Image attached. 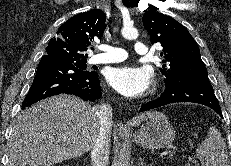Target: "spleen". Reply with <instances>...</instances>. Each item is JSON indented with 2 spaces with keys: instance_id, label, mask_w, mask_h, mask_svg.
I'll use <instances>...</instances> for the list:
<instances>
[{
  "instance_id": "1",
  "label": "spleen",
  "mask_w": 231,
  "mask_h": 166,
  "mask_svg": "<svg viewBox=\"0 0 231 166\" xmlns=\"http://www.w3.org/2000/svg\"><path fill=\"white\" fill-rule=\"evenodd\" d=\"M196 156L202 166H230L225 141L213 126L209 128L207 138L198 145Z\"/></svg>"
}]
</instances>
